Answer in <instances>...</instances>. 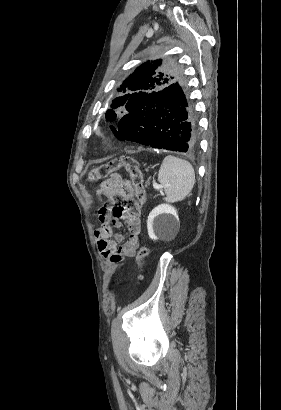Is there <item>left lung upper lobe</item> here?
Returning a JSON list of instances; mask_svg holds the SVG:
<instances>
[{"instance_id": "1", "label": "left lung upper lobe", "mask_w": 281, "mask_h": 410, "mask_svg": "<svg viewBox=\"0 0 281 410\" xmlns=\"http://www.w3.org/2000/svg\"><path fill=\"white\" fill-rule=\"evenodd\" d=\"M182 78V73L175 64L162 60L148 61L136 69L118 88L121 96L113 100L111 107L122 109L128 114L139 112L156 92L182 81ZM119 116L114 110L109 109L105 117L108 121H114ZM114 129L112 127V130Z\"/></svg>"}]
</instances>
